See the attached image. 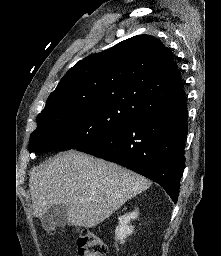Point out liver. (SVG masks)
Here are the masks:
<instances>
[{
    "mask_svg": "<svg viewBox=\"0 0 221 256\" xmlns=\"http://www.w3.org/2000/svg\"><path fill=\"white\" fill-rule=\"evenodd\" d=\"M151 185L147 178L115 163L71 150L32 170L33 215L53 205L67 208L70 226L92 228Z\"/></svg>",
    "mask_w": 221,
    "mask_h": 256,
    "instance_id": "obj_1",
    "label": "liver"
}]
</instances>
